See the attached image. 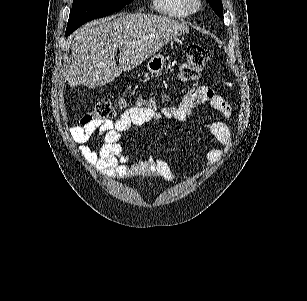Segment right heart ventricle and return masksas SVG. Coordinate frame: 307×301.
Returning <instances> with one entry per match:
<instances>
[{"instance_id": "right-heart-ventricle-1", "label": "right heart ventricle", "mask_w": 307, "mask_h": 301, "mask_svg": "<svg viewBox=\"0 0 307 301\" xmlns=\"http://www.w3.org/2000/svg\"><path fill=\"white\" fill-rule=\"evenodd\" d=\"M155 12L160 13V17H183V10H180L182 5L181 0H153Z\"/></svg>"}]
</instances>
